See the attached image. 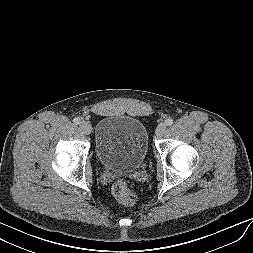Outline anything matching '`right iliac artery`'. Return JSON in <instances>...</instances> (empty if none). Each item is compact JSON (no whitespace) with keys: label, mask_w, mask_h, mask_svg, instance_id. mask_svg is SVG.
<instances>
[{"label":"right iliac artery","mask_w":253,"mask_h":253,"mask_svg":"<svg viewBox=\"0 0 253 253\" xmlns=\"http://www.w3.org/2000/svg\"><path fill=\"white\" fill-rule=\"evenodd\" d=\"M73 122H74L75 124H79V123H80V118H79V117H75V118L73 119Z\"/></svg>","instance_id":"right-iliac-artery-1"}]
</instances>
